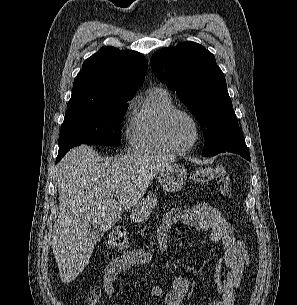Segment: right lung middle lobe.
Listing matches in <instances>:
<instances>
[{
	"label": "right lung middle lobe",
	"mask_w": 297,
	"mask_h": 305,
	"mask_svg": "<svg viewBox=\"0 0 297 305\" xmlns=\"http://www.w3.org/2000/svg\"><path fill=\"white\" fill-rule=\"evenodd\" d=\"M133 96L111 101H91L67 105L59 136V152L80 144L118 146L121 122Z\"/></svg>",
	"instance_id": "obj_1"
}]
</instances>
